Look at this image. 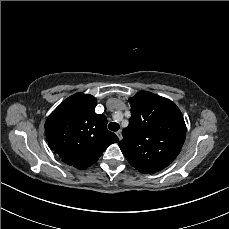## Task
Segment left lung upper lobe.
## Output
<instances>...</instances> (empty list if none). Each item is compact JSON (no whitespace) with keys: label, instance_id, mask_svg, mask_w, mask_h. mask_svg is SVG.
<instances>
[{"label":"left lung upper lobe","instance_id":"5c2ea615","mask_svg":"<svg viewBox=\"0 0 229 229\" xmlns=\"http://www.w3.org/2000/svg\"><path fill=\"white\" fill-rule=\"evenodd\" d=\"M131 118L118 143L131 166L155 173L170 165L186 138V125L171 100L142 91L129 99Z\"/></svg>","mask_w":229,"mask_h":229}]
</instances>
